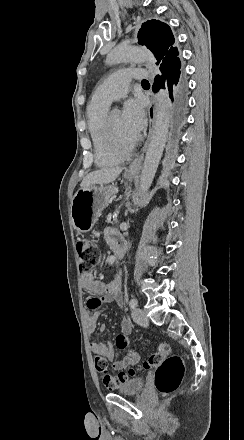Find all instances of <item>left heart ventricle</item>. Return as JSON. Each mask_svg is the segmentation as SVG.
<instances>
[{
  "mask_svg": "<svg viewBox=\"0 0 244 440\" xmlns=\"http://www.w3.org/2000/svg\"><path fill=\"white\" fill-rule=\"evenodd\" d=\"M110 123L113 130L117 133L116 141L120 142L123 137H128V132L124 126L123 115L119 110H114L110 115Z\"/></svg>",
  "mask_w": 244,
  "mask_h": 440,
  "instance_id": "b2bd125f",
  "label": "left heart ventricle"
}]
</instances>
